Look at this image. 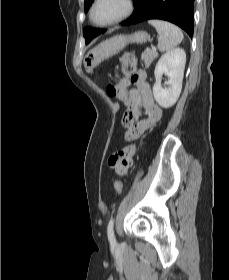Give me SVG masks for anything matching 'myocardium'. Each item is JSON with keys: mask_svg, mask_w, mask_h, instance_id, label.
<instances>
[{"mask_svg": "<svg viewBox=\"0 0 229 280\" xmlns=\"http://www.w3.org/2000/svg\"><path fill=\"white\" fill-rule=\"evenodd\" d=\"M103 0H95L89 10V20L92 24H94L97 27H108L117 23H120L130 17L134 10H135V1L134 0H123L124 2V9L123 11L118 14L117 16L104 21V22H97L94 19V11L96 7L102 2Z\"/></svg>", "mask_w": 229, "mask_h": 280, "instance_id": "1", "label": "myocardium"}]
</instances>
